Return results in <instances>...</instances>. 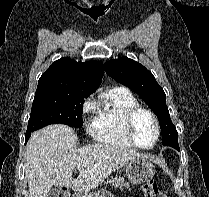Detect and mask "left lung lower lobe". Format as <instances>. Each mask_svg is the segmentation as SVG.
<instances>
[{"instance_id":"0a47b994","label":"left lung lower lobe","mask_w":209,"mask_h":197,"mask_svg":"<svg viewBox=\"0 0 209 197\" xmlns=\"http://www.w3.org/2000/svg\"><path fill=\"white\" fill-rule=\"evenodd\" d=\"M173 148L177 149L178 151L180 150L179 145H174Z\"/></svg>"}]
</instances>
